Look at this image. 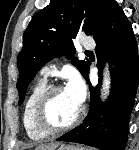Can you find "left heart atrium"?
I'll return each instance as SVG.
<instances>
[{"instance_id":"1","label":"left heart atrium","mask_w":139,"mask_h":150,"mask_svg":"<svg viewBox=\"0 0 139 150\" xmlns=\"http://www.w3.org/2000/svg\"><path fill=\"white\" fill-rule=\"evenodd\" d=\"M66 90L79 103L82 104L86 96V88L83 80L77 74H73L67 83Z\"/></svg>"}]
</instances>
